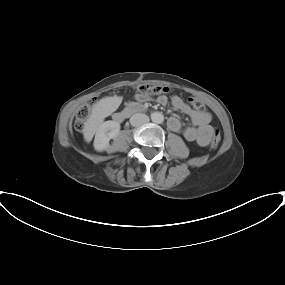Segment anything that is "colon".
<instances>
[{"instance_id":"1","label":"colon","mask_w":285,"mask_h":285,"mask_svg":"<svg viewBox=\"0 0 285 285\" xmlns=\"http://www.w3.org/2000/svg\"><path fill=\"white\" fill-rule=\"evenodd\" d=\"M136 91L139 95L144 97H149L153 95H161L165 94L169 91V89L165 86L161 85H151V84H140L136 87ZM189 103L192 107L198 110L204 109V103L202 100L196 97L189 98ZM90 113V105L83 106L76 115L75 118V127L78 130H82L84 127V123L86 119L88 118ZM221 140V133L219 128L212 127V133H211V147L216 148Z\"/></svg>"}]
</instances>
